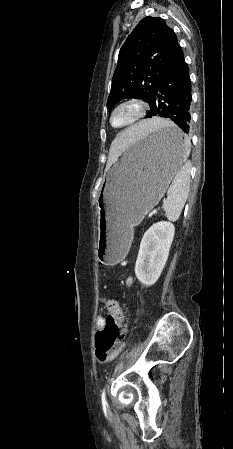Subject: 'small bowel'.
<instances>
[{"mask_svg": "<svg viewBox=\"0 0 233 449\" xmlns=\"http://www.w3.org/2000/svg\"><path fill=\"white\" fill-rule=\"evenodd\" d=\"M125 284L127 286H130L132 284V278L128 277L125 280ZM96 326H97L98 332L105 330V327H106L105 319L101 315H98L97 318H96ZM120 350H121V347H119V348H117V349H115V350H113V351H111V352H109L107 354H104V355H99L97 353H96V355H97L98 360L101 363H105V362L113 360L118 355Z\"/></svg>", "mask_w": 233, "mask_h": 449, "instance_id": "1", "label": "small bowel"}]
</instances>
